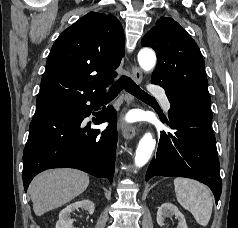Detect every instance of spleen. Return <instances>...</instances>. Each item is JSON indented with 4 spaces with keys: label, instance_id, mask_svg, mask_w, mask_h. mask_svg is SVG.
<instances>
[{
    "label": "spleen",
    "instance_id": "1",
    "mask_svg": "<svg viewBox=\"0 0 238 228\" xmlns=\"http://www.w3.org/2000/svg\"><path fill=\"white\" fill-rule=\"evenodd\" d=\"M174 186L180 205L192 213L199 225L206 226L213 208L211 191L202 183L184 177L174 179Z\"/></svg>",
    "mask_w": 238,
    "mask_h": 228
}]
</instances>
